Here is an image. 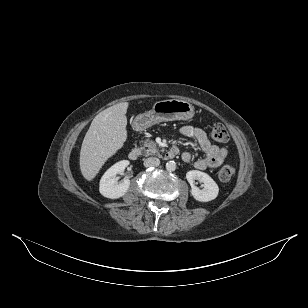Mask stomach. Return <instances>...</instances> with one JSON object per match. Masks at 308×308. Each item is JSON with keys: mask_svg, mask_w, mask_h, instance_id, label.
<instances>
[{"mask_svg": "<svg viewBox=\"0 0 308 308\" xmlns=\"http://www.w3.org/2000/svg\"><path fill=\"white\" fill-rule=\"evenodd\" d=\"M194 116V107L185 100L157 101L151 110L136 116L134 125L143 130L163 121L188 120Z\"/></svg>", "mask_w": 308, "mask_h": 308, "instance_id": "stomach-1", "label": "stomach"}]
</instances>
